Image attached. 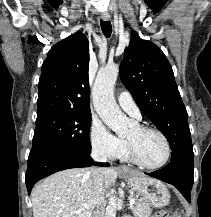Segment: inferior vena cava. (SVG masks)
Returning <instances> with one entry per match:
<instances>
[{"label":"inferior vena cava","mask_w":211,"mask_h":217,"mask_svg":"<svg viewBox=\"0 0 211 217\" xmlns=\"http://www.w3.org/2000/svg\"><path fill=\"white\" fill-rule=\"evenodd\" d=\"M91 156L95 161L107 162L106 152L103 148H93ZM94 189L97 199L100 202L102 196L105 193V188L103 184V171L100 168L94 170ZM92 217H104L103 207L101 203H98V206L94 211Z\"/></svg>","instance_id":"1"}]
</instances>
